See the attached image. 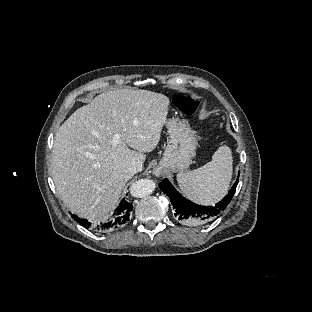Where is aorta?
Masks as SVG:
<instances>
[{
  "instance_id": "obj_1",
  "label": "aorta",
  "mask_w": 312,
  "mask_h": 312,
  "mask_svg": "<svg viewBox=\"0 0 312 312\" xmlns=\"http://www.w3.org/2000/svg\"><path fill=\"white\" fill-rule=\"evenodd\" d=\"M155 190V183L150 179H140L134 182L130 187V193L133 197L143 198Z\"/></svg>"
}]
</instances>
